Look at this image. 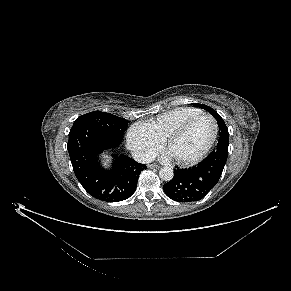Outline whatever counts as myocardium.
<instances>
[{
  "label": "myocardium",
  "mask_w": 291,
  "mask_h": 291,
  "mask_svg": "<svg viewBox=\"0 0 291 291\" xmlns=\"http://www.w3.org/2000/svg\"><path fill=\"white\" fill-rule=\"evenodd\" d=\"M200 118H208L212 121L213 123V135L211 140L209 141L208 145L205 147V149L198 154L197 156L189 159V160H178L173 158V160L175 161V163L179 166L182 167H187V166H191L194 165L198 162H200L201 160H203L211 151V149L213 148V146L215 145V142L217 140L218 137V123L216 121V119L208 114V113H201L198 115H195L191 118H189L188 120H186L184 123H182L179 127H177L174 131H172L164 140V148L166 150H168L169 146L171 145V143L173 141H175L176 139H178L180 136H182L185 131L198 119Z\"/></svg>",
  "instance_id": "f54148a6"
}]
</instances>
